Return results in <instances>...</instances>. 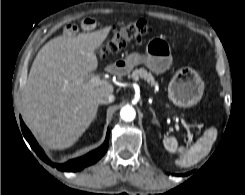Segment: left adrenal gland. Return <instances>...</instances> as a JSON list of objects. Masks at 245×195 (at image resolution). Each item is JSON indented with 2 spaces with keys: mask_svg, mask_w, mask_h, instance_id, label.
Listing matches in <instances>:
<instances>
[{
  "mask_svg": "<svg viewBox=\"0 0 245 195\" xmlns=\"http://www.w3.org/2000/svg\"><path fill=\"white\" fill-rule=\"evenodd\" d=\"M149 110L151 111V113H152V115H153V120H152V122H153L154 124H156L157 126H159L160 124H159V122H158V120H157V118H156L155 111H154L151 107L149 108Z\"/></svg>",
  "mask_w": 245,
  "mask_h": 195,
  "instance_id": "a2214340",
  "label": "left adrenal gland"
}]
</instances>
